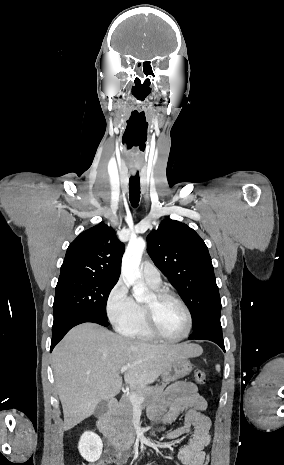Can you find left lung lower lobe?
<instances>
[{"instance_id": "left-lung-lower-lobe-1", "label": "left lung lower lobe", "mask_w": 284, "mask_h": 465, "mask_svg": "<svg viewBox=\"0 0 284 465\" xmlns=\"http://www.w3.org/2000/svg\"><path fill=\"white\" fill-rule=\"evenodd\" d=\"M189 339L210 340L218 344L225 352L220 319H209L194 330Z\"/></svg>"}]
</instances>
